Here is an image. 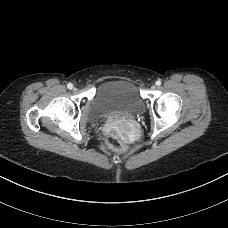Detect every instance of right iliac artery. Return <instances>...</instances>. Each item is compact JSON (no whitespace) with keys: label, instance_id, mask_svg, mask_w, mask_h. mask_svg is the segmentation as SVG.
<instances>
[{"label":"right iliac artery","instance_id":"1","mask_svg":"<svg viewBox=\"0 0 228 228\" xmlns=\"http://www.w3.org/2000/svg\"><path fill=\"white\" fill-rule=\"evenodd\" d=\"M67 88H68V89H72V88H73V84L69 83V84L67 85Z\"/></svg>","mask_w":228,"mask_h":228}]
</instances>
